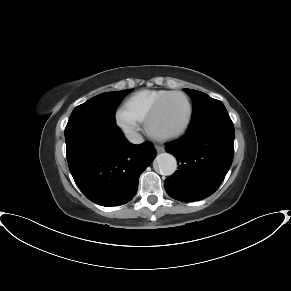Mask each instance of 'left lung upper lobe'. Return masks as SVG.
Wrapping results in <instances>:
<instances>
[{
	"label": "left lung upper lobe",
	"instance_id": "1",
	"mask_svg": "<svg viewBox=\"0 0 291 291\" xmlns=\"http://www.w3.org/2000/svg\"><path fill=\"white\" fill-rule=\"evenodd\" d=\"M184 91L191 96L193 101L192 123L209 116L218 110L225 109V106L221 101L213 99L203 92L190 89H184Z\"/></svg>",
	"mask_w": 291,
	"mask_h": 291
}]
</instances>
